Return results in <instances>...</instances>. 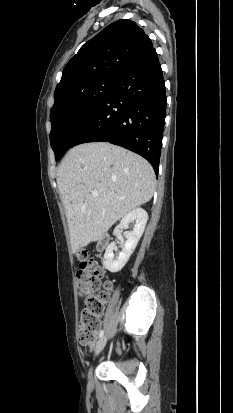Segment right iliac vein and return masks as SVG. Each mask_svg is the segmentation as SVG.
Instances as JSON below:
<instances>
[{"label": "right iliac vein", "instance_id": "obj_1", "mask_svg": "<svg viewBox=\"0 0 233 413\" xmlns=\"http://www.w3.org/2000/svg\"><path fill=\"white\" fill-rule=\"evenodd\" d=\"M106 341H107L106 336L101 337V339L98 341L96 348H95V356L98 355L103 350V348L106 345ZM88 377L90 380L92 379V367H90L89 369Z\"/></svg>", "mask_w": 233, "mask_h": 413}]
</instances>
